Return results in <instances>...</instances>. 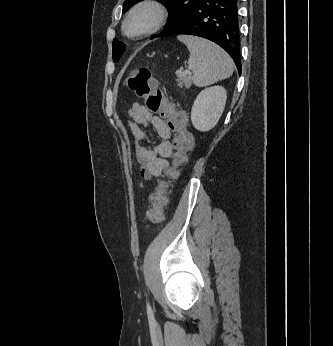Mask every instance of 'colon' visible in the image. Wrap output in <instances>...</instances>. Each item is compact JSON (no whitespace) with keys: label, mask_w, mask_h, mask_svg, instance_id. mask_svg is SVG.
Returning a JSON list of instances; mask_svg holds the SVG:
<instances>
[{"label":"colon","mask_w":333,"mask_h":346,"mask_svg":"<svg viewBox=\"0 0 333 346\" xmlns=\"http://www.w3.org/2000/svg\"><path fill=\"white\" fill-rule=\"evenodd\" d=\"M126 84L138 98L145 101L146 108L150 112L159 113L167 120L171 130L176 132L172 165L167 168L166 177L158 182L149 198L150 208L146 212V218L149 224L155 225L164 219L169 182L178 176L179 168L187 162V154L192 146L193 138L186 128L185 114L177 111L166 99L150 69L141 67L132 71L127 77Z\"/></svg>","instance_id":"1"}]
</instances>
